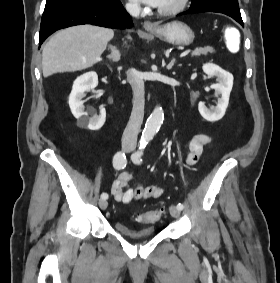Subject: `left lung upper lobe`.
Returning <instances> with one entry per match:
<instances>
[{
	"label": "left lung upper lobe",
	"mask_w": 280,
	"mask_h": 283,
	"mask_svg": "<svg viewBox=\"0 0 280 283\" xmlns=\"http://www.w3.org/2000/svg\"><path fill=\"white\" fill-rule=\"evenodd\" d=\"M191 8H207L241 18L238 0H192Z\"/></svg>",
	"instance_id": "left-lung-upper-lobe-1"
}]
</instances>
